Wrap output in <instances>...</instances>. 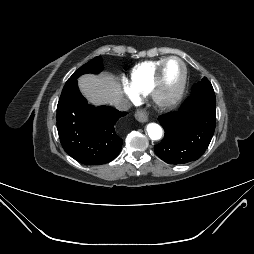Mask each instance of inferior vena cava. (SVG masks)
<instances>
[{"mask_svg":"<svg viewBox=\"0 0 254 254\" xmlns=\"http://www.w3.org/2000/svg\"><path fill=\"white\" fill-rule=\"evenodd\" d=\"M113 105L120 111H127L131 107V103L127 99L115 100Z\"/></svg>","mask_w":254,"mask_h":254,"instance_id":"obj_1","label":"inferior vena cava"}]
</instances>
